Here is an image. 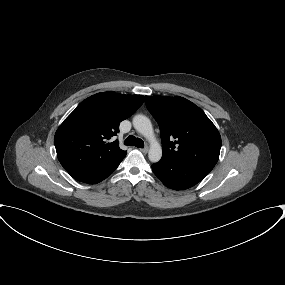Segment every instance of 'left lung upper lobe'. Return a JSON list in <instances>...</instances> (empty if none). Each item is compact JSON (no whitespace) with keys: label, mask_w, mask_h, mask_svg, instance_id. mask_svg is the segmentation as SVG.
<instances>
[{"label":"left lung upper lobe","mask_w":285,"mask_h":285,"mask_svg":"<svg viewBox=\"0 0 285 285\" xmlns=\"http://www.w3.org/2000/svg\"><path fill=\"white\" fill-rule=\"evenodd\" d=\"M160 126L162 159L210 172L218 161L221 137L211 120L183 97L145 96Z\"/></svg>","instance_id":"1"}]
</instances>
